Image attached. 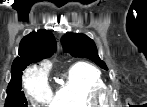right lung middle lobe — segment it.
Wrapping results in <instances>:
<instances>
[{"instance_id": "right-lung-middle-lobe-1", "label": "right lung middle lobe", "mask_w": 147, "mask_h": 107, "mask_svg": "<svg viewBox=\"0 0 147 107\" xmlns=\"http://www.w3.org/2000/svg\"><path fill=\"white\" fill-rule=\"evenodd\" d=\"M29 65V64H28ZM23 66L15 76H11V81L7 87V98L4 107H27V100L22 89V71L28 66Z\"/></svg>"}]
</instances>
